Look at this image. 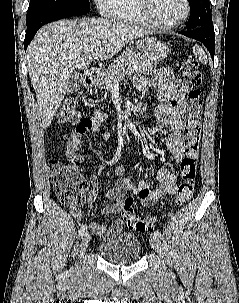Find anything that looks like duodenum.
<instances>
[{
    "label": "duodenum",
    "instance_id": "obj_1",
    "mask_svg": "<svg viewBox=\"0 0 239 303\" xmlns=\"http://www.w3.org/2000/svg\"><path fill=\"white\" fill-rule=\"evenodd\" d=\"M98 79V74L95 70H87L85 72V85L87 87H94Z\"/></svg>",
    "mask_w": 239,
    "mask_h": 303
}]
</instances>
